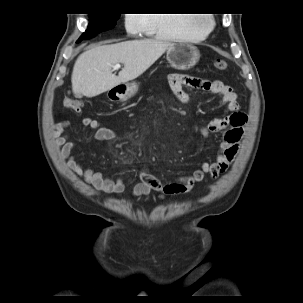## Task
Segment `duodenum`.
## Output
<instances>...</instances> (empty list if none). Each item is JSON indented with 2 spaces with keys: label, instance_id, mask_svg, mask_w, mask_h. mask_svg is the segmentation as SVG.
Here are the masks:
<instances>
[{
  "label": "duodenum",
  "instance_id": "obj_1",
  "mask_svg": "<svg viewBox=\"0 0 303 303\" xmlns=\"http://www.w3.org/2000/svg\"><path fill=\"white\" fill-rule=\"evenodd\" d=\"M116 92H118V94H123L124 90L123 89H116Z\"/></svg>",
  "mask_w": 303,
  "mask_h": 303
}]
</instances>
